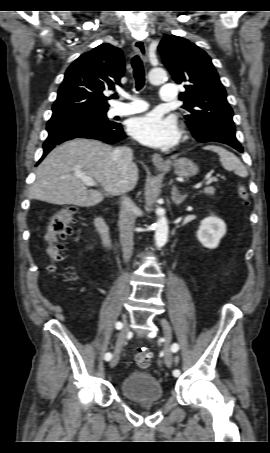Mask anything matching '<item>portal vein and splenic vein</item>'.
Returning a JSON list of instances; mask_svg holds the SVG:
<instances>
[{
	"label": "portal vein and splenic vein",
	"mask_w": 270,
	"mask_h": 453,
	"mask_svg": "<svg viewBox=\"0 0 270 453\" xmlns=\"http://www.w3.org/2000/svg\"><path fill=\"white\" fill-rule=\"evenodd\" d=\"M76 176L82 180V182L86 185V186H96L97 183L90 177H87L83 174H76ZM215 180L214 177H212L211 175H207L206 176V180H205V185L208 186L210 185L213 181Z\"/></svg>",
	"instance_id": "obj_1"
}]
</instances>
